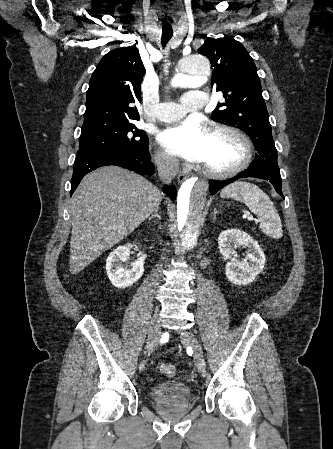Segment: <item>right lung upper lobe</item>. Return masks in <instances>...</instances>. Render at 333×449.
Returning a JSON list of instances; mask_svg holds the SVG:
<instances>
[{
    "instance_id": "right-lung-upper-lobe-1",
    "label": "right lung upper lobe",
    "mask_w": 333,
    "mask_h": 449,
    "mask_svg": "<svg viewBox=\"0 0 333 449\" xmlns=\"http://www.w3.org/2000/svg\"><path fill=\"white\" fill-rule=\"evenodd\" d=\"M144 75L145 67L136 47L107 53L90 79L83 126L139 120L134 104L141 102Z\"/></svg>"
}]
</instances>
